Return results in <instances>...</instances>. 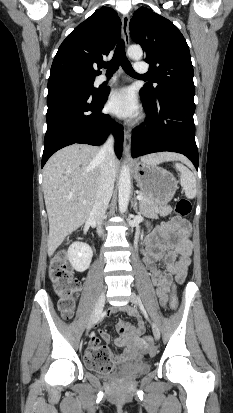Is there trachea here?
Here are the masks:
<instances>
[{
  "mask_svg": "<svg viewBox=\"0 0 233 413\" xmlns=\"http://www.w3.org/2000/svg\"><path fill=\"white\" fill-rule=\"evenodd\" d=\"M120 65L123 70L130 76L143 77L135 73L132 65L128 61L125 54V43L123 40L119 41V43L117 44L112 60L107 63H103L102 66L107 69V74H113L114 72H116Z\"/></svg>",
  "mask_w": 233,
  "mask_h": 413,
  "instance_id": "trachea-1",
  "label": "trachea"
}]
</instances>
